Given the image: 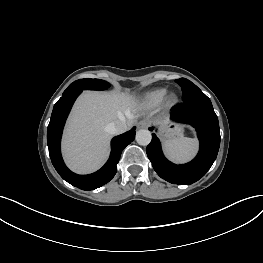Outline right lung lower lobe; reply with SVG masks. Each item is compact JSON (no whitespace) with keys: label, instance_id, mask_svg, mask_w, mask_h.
Listing matches in <instances>:
<instances>
[{"label":"right lung lower lobe","instance_id":"98d812e1","mask_svg":"<svg viewBox=\"0 0 263 263\" xmlns=\"http://www.w3.org/2000/svg\"><path fill=\"white\" fill-rule=\"evenodd\" d=\"M81 92L82 90H77L65 94L54 105L47 129V144L52 164L60 176L71 185L88 191L101 187L114 177L121 152L135 139L136 132L134 127L130 131L112 139L110 157L106 164L97 172L89 175H77L71 172L63 162L60 141L66 118L74 101Z\"/></svg>","mask_w":263,"mask_h":263}]
</instances>
